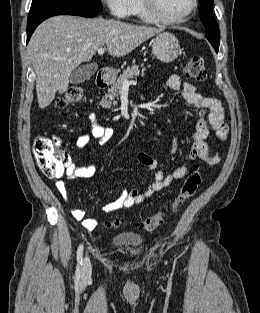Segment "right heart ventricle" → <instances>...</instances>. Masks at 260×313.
Returning a JSON list of instances; mask_svg holds the SVG:
<instances>
[{
    "label": "right heart ventricle",
    "mask_w": 260,
    "mask_h": 313,
    "mask_svg": "<svg viewBox=\"0 0 260 313\" xmlns=\"http://www.w3.org/2000/svg\"><path fill=\"white\" fill-rule=\"evenodd\" d=\"M131 14L137 16L141 21L151 23L152 21L147 17L145 14L140 0H133V5H132V12Z\"/></svg>",
    "instance_id": "right-heart-ventricle-1"
}]
</instances>
